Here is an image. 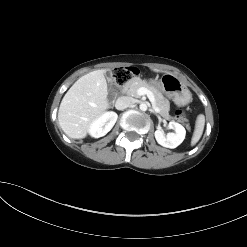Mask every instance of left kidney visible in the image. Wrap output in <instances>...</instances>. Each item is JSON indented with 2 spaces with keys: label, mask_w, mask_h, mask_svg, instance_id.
Wrapping results in <instances>:
<instances>
[{
  "label": "left kidney",
  "mask_w": 247,
  "mask_h": 247,
  "mask_svg": "<svg viewBox=\"0 0 247 247\" xmlns=\"http://www.w3.org/2000/svg\"><path fill=\"white\" fill-rule=\"evenodd\" d=\"M169 127L175 130V133H168L166 136L163 130H156L155 131V138L158 144L166 148H176L179 146L183 140L185 139L186 130L185 128L174 121L169 123Z\"/></svg>",
  "instance_id": "5707ae66"
}]
</instances>
